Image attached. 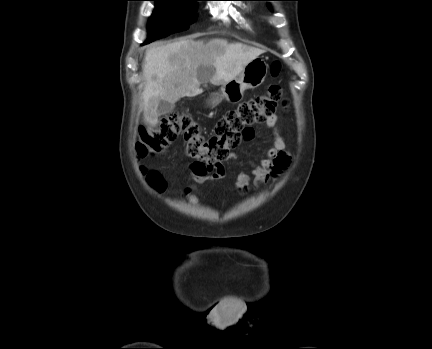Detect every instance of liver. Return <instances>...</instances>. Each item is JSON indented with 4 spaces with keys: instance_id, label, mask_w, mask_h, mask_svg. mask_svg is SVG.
I'll return each instance as SVG.
<instances>
[{
    "instance_id": "1",
    "label": "liver",
    "mask_w": 432,
    "mask_h": 349,
    "mask_svg": "<svg viewBox=\"0 0 432 349\" xmlns=\"http://www.w3.org/2000/svg\"><path fill=\"white\" fill-rule=\"evenodd\" d=\"M262 53L259 48L229 43L223 38L208 42L183 39L148 49L142 63L146 80L143 92L145 123L152 127L157 125L159 100L175 103L183 97L201 94L202 68H212L211 83L223 85L237 77Z\"/></svg>"
}]
</instances>
